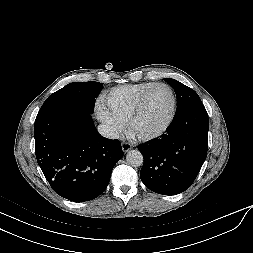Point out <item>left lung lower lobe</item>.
<instances>
[{
	"instance_id": "0a47b994",
	"label": "left lung lower lobe",
	"mask_w": 253,
	"mask_h": 253,
	"mask_svg": "<svg viewBox=\"0 0 253 253\" xmlns=\"http://www.w3.org/2000/svg\"><path fill=\"white\" fill-rule=\"evenodd\" d=\"M208 130L202 103L176 112L163 135L137 147L144 156L140 178L145 186L163 195L188 189L206 159Z\"/></svg>"
}]
</instances>
